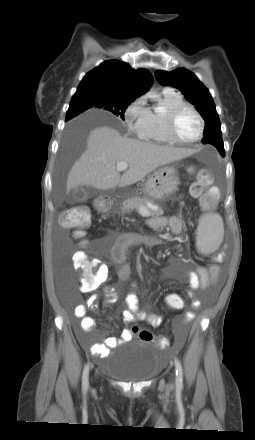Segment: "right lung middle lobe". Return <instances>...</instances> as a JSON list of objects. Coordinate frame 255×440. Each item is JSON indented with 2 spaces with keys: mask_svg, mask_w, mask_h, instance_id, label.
<instances>
[{
  "mask_svg": "<svg viewBox=\"0 0 255 440\" xmlns=\"http://www.w3.org/2000/svg\"><path fill=\"white\" fill-rule=\"evenodd\" d=\"M132 100L120 97H109L95 92L74 94L66 113V120L71 119L90 108L109 111L124 120V113Z\"/></svg>",
  "mask_w": 255,
  "mask_h": 440,
  "instance_id": "dd1d6c3e",
  "label": "right lung middle lobe"
}]
</instances>
